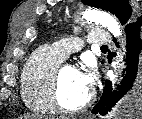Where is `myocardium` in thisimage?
Listing matches in <instances>:
<instances>
[{
  "mask_svg": "<svg viewBox=\"0 0 142 119\" xmlns=\"http://www.w3.org/2000/svg\"><path fill=\"white\" fill-rule=\"evenodd\" d=\"M65 67L67 66L59 67L52 78V82L50 86V100H51L52 107L55 111L62 114H76V113L84 111L91 105L94 98V94L90 92L87 98L81 104L75 107H72V108L65 107L62 104L60 99L61 77Z\"/></svg>",
  "mask_w": 142,
  "mask_h": 119,
  "instance_id": "obj_1",
  "label": "myocardium"
}]
</instances>
